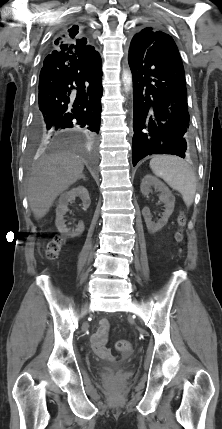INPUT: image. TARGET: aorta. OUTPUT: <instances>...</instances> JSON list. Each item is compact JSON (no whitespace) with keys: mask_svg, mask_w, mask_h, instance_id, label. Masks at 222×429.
I'll use <instances>...</instances> for the list:
<instances>
[{"mask_svg":"<svg viewBox=\"0 0 222 429\" xmlns=\"http://www.w3.org/2000/svg\"><path fill=\"white\" fill-rule=\"evenodd\" d=\"M124 81H125L126 89H128V87L130 86V82H131V78L128 75V73H124Z\"/></svg>","mask_w":222,"mask_h":429,"instance_id":"1","label":"aorta"}]
</instances>
